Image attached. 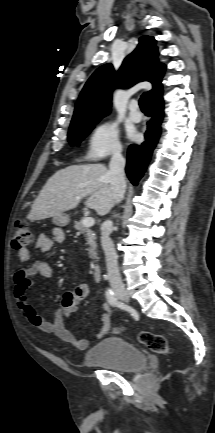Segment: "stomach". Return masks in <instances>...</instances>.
<instances>
[{
    "instance_id": "1",
    "label": "stomach",
    "mask_w": 215,
    "mask_h": 433,
    "mask_svg": "<svg viewBox=\"0 0 215 433\" xmlns=\"http://www.w3.org/2000/svg\"><path fill=\"white\" fill-rule=\"evenodd\" d=\"M70 221V217L68 214L62 213L53 218V222L59 226H66Z\"/></svg>"
}]
</instances>
